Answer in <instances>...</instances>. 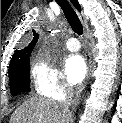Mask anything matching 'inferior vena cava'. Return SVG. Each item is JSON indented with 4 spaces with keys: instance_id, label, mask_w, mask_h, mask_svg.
<instances>
[{
    "instance_id": "obj_1",
    "label": "inferior vena cava",
    "mask_w": 122,
    "mask_h": 123,
    "mask_svg": "<svg viewBox=\"0 0 122 123\" xmlns=\"http://www.w3.org/2000/svg\"><path fill=\"white\" fill-rule=\"evenodd\" d=\"M73 94H74L73 87L70 84L66 83L64 88L65 96L58 102L64 113H69V107L72 102Z\"/></svg>"
}]
</instances>
